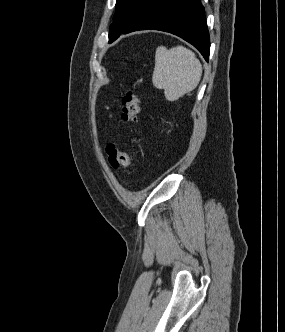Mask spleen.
<instances>
[{
  "label": "spleen",
  "instance_id": "1",
  "mask_svg": "<svg viewBox=\"0 0 285 332\" xmlns=\"http://www.w3.org/2000/svg\"><path fill=\"white\" fill-rule=\"evenodd\" d=\"M201 75L202 65L190 49L182 45L156 49L152 82L157 89H164L168 101H176L194 90Z\"/></svg>",
  "mask_w": 285,
  "mask_h": 332
}]
</instances>
